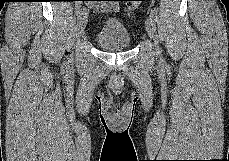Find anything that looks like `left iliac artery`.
I'll list each match as a JSON object with an SVG mask.
<instances>
[{"mask_svg":"<svg viewBox=\"0 0 229 161\" xmlns=\"http://www.w3.org/2000/svg\"><path fill=\"white\" fill-rule=\"evenodd\" d=\"M150 18L155 21V22H158V16L156 14V12L154 10L151 9L150 11Z\"/></svg>","mask_w":229,"mask_h":161,"instance_id":"obj_1","label":"left iliac artery"}]
</instances>
